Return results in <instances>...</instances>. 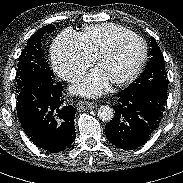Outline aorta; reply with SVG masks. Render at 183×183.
<instances>
[{
  "instance_id": "aorta-1",
  "label": "aorta",
  "mask_w": 183,
  "mask_h": 183,
  "mask_svg": "<svg viewBox=\"0 0 183 183\" xmlns=\"http://www.w3.org/2000/svg\"><path fill=\"white\" fill-rule=\"evenodd\" d=\"M98 117L102 121L109 122L114 117V110L110 106H100L98 109Z\"/></svg>"
}]
</instances>
